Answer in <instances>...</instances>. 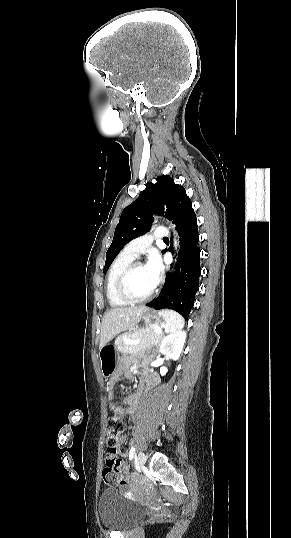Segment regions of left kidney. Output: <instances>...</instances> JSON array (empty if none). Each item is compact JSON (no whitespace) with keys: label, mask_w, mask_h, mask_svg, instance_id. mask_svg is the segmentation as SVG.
<instances>
[{"label":"left kidney","mask_w":291,"mask_h":538,"mask_svg":"<svg viewBox=\"0 0 291 538\" xmlns=\"http://www.w3.org/2000/svg\"><path fill=\"white\" fill-rule=\"evenodd\" d=\"M186 332L179 331L165 336L160 344V353L172 360H178L184 347ZM168 369L165 366L160 368V374L163 376Z\"/></svg>","instance_id":"obj_1"}]
</instances>
